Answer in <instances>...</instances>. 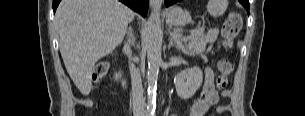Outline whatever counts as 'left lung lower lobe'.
<instances>
[{"label": "left lung lower lobe", "instance_id": "obj_1", "mask_svg": "<svg viewBox=\"0 0 305 116\" xmlns=\"http://www.w3.org/2000/svg\"><path fill=\"white\" fill-rule=\"evenodd\" d=\"M180 0H165V5L170 6ZM239 2L246 8L247 12L249 13V1L248 0H239Z\"/></svg>", "mask_w": 305, "mask_h": 116}]
</instances>
